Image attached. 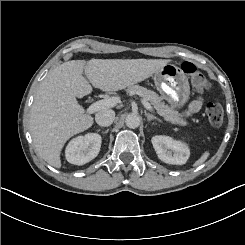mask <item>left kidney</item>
<instances>
[{"mask_svg":"<svg viewBox=\"0 0 245 245\" xmlns=\"http://www.w3.org/2000/svg\"><path fill=\"white\" fill-rule=\"evenodd\" d=\"M158 158L165 163L183 165L190 156L186 143L174 140L169 136L156 135L151 139Z\"/></svg>","mask_w":245,"mask_h":245,"instance_id":"1","label":"left kidney"}]
</instances>
